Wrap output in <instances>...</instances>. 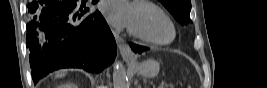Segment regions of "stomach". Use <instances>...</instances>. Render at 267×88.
<instances>
[{"instance_id": "stomach-1", "label": "stomach", "mask_w": 267, "mask_h": 88, "mask_svg": "<svg viewBox=\"0 0 267 88\" xmlns=\"http://www.w3.org/2000/svg\"><path fill=\"white\" fill-rule=\"evenodd\" d=\"M160 70V65L153 59H148L136 66V71L143 77H155Z\"/></svg>"}]
</instances>
